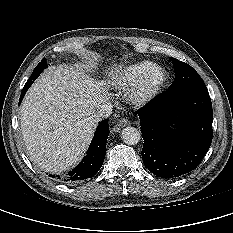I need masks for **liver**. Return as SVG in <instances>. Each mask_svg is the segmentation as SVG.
Wrapping results in <instances>:
<instances>
[{
    "mask_svg": "<svg viewBox=\"0 0 233 233\" xmlns=\"http://www.w3.org/2000/svg\"><path fill=\"white\" fill-rule=\"evenodd\" d=\"M108 99L103 84L80 67L45 70L21 105V130L33 164L61 173L78 163L97 127L95 114Z\"/></svg>",
    "mask_w": 233,
    "mask_h": 233,
    "instance_id": "1",
    "label": "liver"
}]
</instances>
